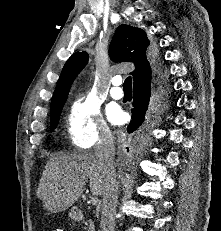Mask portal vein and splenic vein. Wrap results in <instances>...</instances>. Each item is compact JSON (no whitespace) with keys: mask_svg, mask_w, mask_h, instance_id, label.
I'll list each match as a JSON object with an SVG mask.
<instances>
[{"mask_svg":"<svg viewBox=\"0 0 221 231\" xmlns=\"http://www.w3.org/2000/svg\"><path fill=\"white\" fill-rule=\"evenodd\" d=\"M98 202H99V199H98L97 197H93V198L91 199L92 205H97Z\"/></svg>","mask_w":221,"mask_h":231,"instance_id":"obj_1","label":"portal vein and splenic vein"}]
</instances>
